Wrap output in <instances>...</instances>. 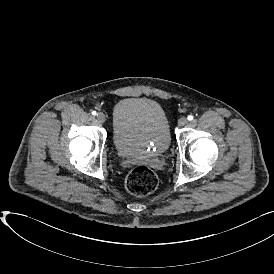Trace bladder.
<instances>
[{
  "instance_id": "bladder-1",
  "label": "bladder",
  "mask_w": 274,
  "mask_h": 274,
  "mask_svg": "<svg viewBox=\"0 0 274 274\" xmlns=\"http://www.w3.org/2000/svg\"><path fill=\"white\" fill-rule=\"evenodd\" d=\"M112 141L123 157L148 158L164 153L171 144L165 110L146 97L120 100L112 113Z\"/></svg>"
}]
</instances>
